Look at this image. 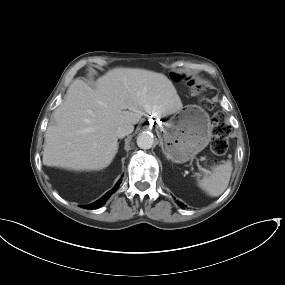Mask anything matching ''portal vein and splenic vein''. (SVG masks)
<instances>
[{"mask_svg": "<svg viewBox=\"0 0 285 285\" xmlns=\"http://www.w3.org/2000/svg\"><path fill=\"white\" fill-rule=\"evenodd\" d=\"M197 166H198V168H199L200 170L205 171L206 173H208V171H207L206 169L202 168V167L199 165L198 162H197Z\"/></svg>", "mask_w": 285, "mask_h": 285, "instance_id": "portal-vein-and-splenic-vein-1", "label": "portal vein and splenic vein"}]
</instances>
